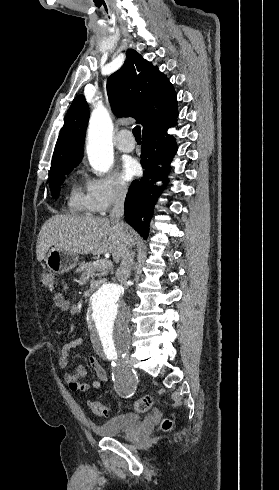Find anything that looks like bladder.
Wrapping results in <instances>:
<instances>
[{
  "label": "bladder",
  "instance_id": "bladder-1",
  "mask_svg": "<svg viewBox=\"0 0 279 490\" xmlns=\"http://www.w3.org/2000/svg\"><path fill=\"white\" fill-rule=\"evenodd\" d=\"M141 422V417L128 411L120 413L118 416L109 418L108 420L98 424L95 427V432L100 437H112L121 435L124 431H132L136 429Z\"/></svg>",
  "mask_w": 279,
  "mask_h": 490
}]
</instances>
